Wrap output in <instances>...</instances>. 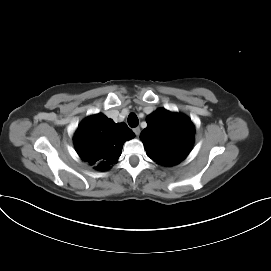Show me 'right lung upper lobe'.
Instances as JSON below:
<instances>
[{"label":"right lung upper lobe","mask_w":271,"mask_h":271,"mask_svg":"<svg viewBox=\"0 0 271 271\" xmlns=\"http://www.w3.org/2000/svg\"><path fill=\"white\" fill-rule=\"evenodd\" d=\"M135 134L125 123L116 124L103 114L86 118L78 127L74 144L82 160L107 170L121 155L123 143Z\"/></svg>","instance_id":"right-lung-upper-lobe-1"}]
</instances>
